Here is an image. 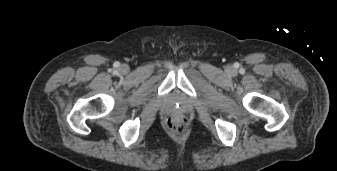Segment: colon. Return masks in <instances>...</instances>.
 <instances>
[{
  "instance_id": "obj_1",
  "label": "colon",
  "mask_w": 337,
  "mask_h": 171,
  "mask_svg": "<svg viewBox=\"0 0 337 171\" xmlns=\"http://www.w3.org/2000/svg\"><path fill=\"white\" fill-rule=\"evenodd\" d=\"M166 126L174 132H183L187 127V120L183 117H168L166 119Z\"/></svg>"
}]
</instances>
